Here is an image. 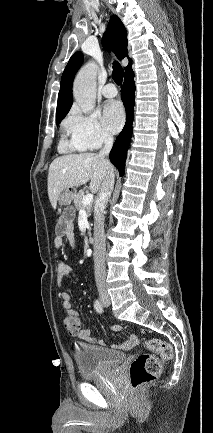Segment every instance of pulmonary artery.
<instances>
[{
  "label": "pulmonary artery",
  "instance_id": "pulmonary-artery-1",
  "mask_svg": "<svg viewBox=\"0 0 213 433\" xmlns=\"http://www.w3.org/2000/svg\"><path fill=\"white\" fill-rule=\"evenodd\" d=\"M102 94L106 98H113L117 95V89L113 83H108L103 87Z\"/></svg>",
  "mask_w": 213,
  "mask_h": 433
}]
</instances>
